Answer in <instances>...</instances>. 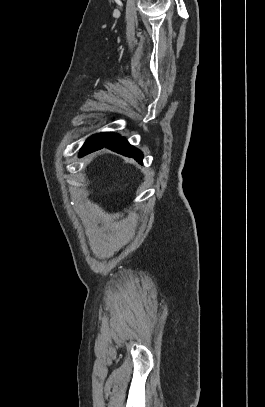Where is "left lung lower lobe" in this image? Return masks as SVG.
<instances>
[{"label": "left lung lower lobe", "mask_w": 265, "mask_h": 407, "mask_svg": "<svg viewBox=\"0 0 265 407\" xmlns=\"http://www.w3.org/2000/svg\"><path fill=\"white\" fill-rule=\"evenodd\" d=\"M104 147L109 148L124 156L132 157L139 163H142L143 153L139 149L130 145L129 142L124 137H120L119 135L114 137L113 139H111L110 141H108L106 143H102V144L93 146V147L89 148L88 150H86L85 152H80L79 156L81 157V156L87 155L91 152L102 149Z\"/></svg>", "instance_id": "obj_1"}]
</instances>
